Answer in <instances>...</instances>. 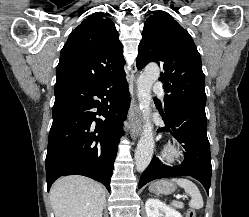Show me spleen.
<instances>
[{
	"label": "spleen",
	"instance_id": "1",
	"mask_svg": "<svg viewBox=\"0 0 249 217\" xmlns=\"http://www.w3.org/2000/svg\"><path fill=\"white\" fill-rule=\"evenodd\" d=\"M172 181L177 182V184L184 188L185 192L191 196V201L189 206L195 209H200L203 207V198L198 187L190 180L186 178H173Z\"/></svg>",
	"mask_w": 249,
	"mask_h": 217
}]
</instances>
